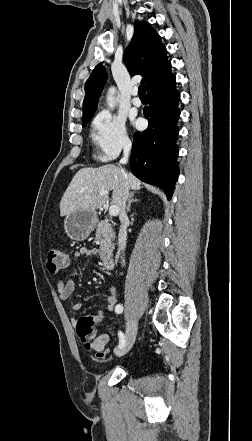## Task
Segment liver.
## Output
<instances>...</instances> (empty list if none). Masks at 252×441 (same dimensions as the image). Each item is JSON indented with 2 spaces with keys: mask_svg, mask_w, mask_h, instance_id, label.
Wrapping results in <instances>:
<instances>
[{
  "mask_svg": "<svg viewBox=\"0 0 252 441\" xmlns=\"http://www.w3.org/2000/svg\"><path fill=\"white\" fill-rule=\"evenodd\" d=\"M128 189L138 191L141 181L132 173H124L115 165H103L98 168H82L73 177L60 201V215L66 216L77 210L95 211L105 205L108 195H99L100 191L112 190V202L121 210L124 184ZM90 196V198H86Z\"/></svg>",
  "mask_w": 252,
  "mask_h": 441,
  "instance_id": "1",
  "label": "liver"
}]
</instances>
